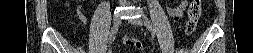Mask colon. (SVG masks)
Segmentation results:
<instances>
[{
	"instance_id": "colon-1",
	"label": "colon",
	"mask_w": 253,
	"mask_h": 53,
	"mask_svg": "<svg viewBox=\"0 0 253 53\" xmlns=\"http://www.w3.org/2000/svg\"><path fill=\"white\" fill-rule=\"evenodd\" d=\"M201 14H202L201 0H192L188 8V21L185 29L187 35H191L194 32L197 22L201 17ZM125 43L128 46L134 47L139 50L143 48V44L139 40L134 38H127Z\"/></svg>"
}]
</instances>
